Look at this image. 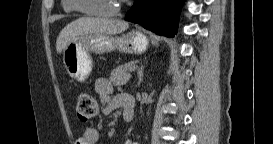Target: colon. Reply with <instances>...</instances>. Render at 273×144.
Returning <instances> with one entry per match:
<instances>
[{"instance_id":"obj_1","label":"colon","mask_w":273,"mask_h":144,"mask_svg":"<svg viewBox=\"0 0 273 144\" xmlns=\"http://www.w3.org/2000/svg\"><path fill=\"white\" fill-rule=\"evenodd\" d=\"M98 113V103L89 92H80L77 97L76 114L78 118L86 122Z\"/></svg>"}]
</instances>
